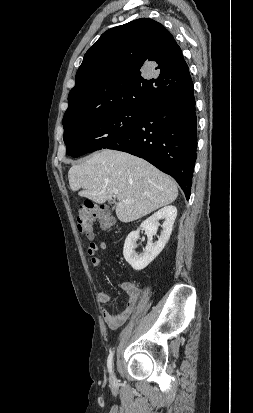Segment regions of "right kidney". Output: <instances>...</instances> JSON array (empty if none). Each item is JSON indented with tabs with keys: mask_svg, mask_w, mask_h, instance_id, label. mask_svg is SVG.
<instances>
[{
	"mask_svg": "<svg viewBox=\"0 0 253 413\" xmlns=\"http://www.w3.org/2000/svg\"><path fill=\"white\" fill-rule=\"evenodd\" d=\"M177 216L175 206H165L158 210L151 217L146 219L140 225V228L145 230L148 237V242L145 251L142 254H137L135 251L136 241L139 238V229L132 231L126 238L123 248L125 260L132 266L134 270L140 271L147 267L163 250L172 233L173 224ZM164 219L162 232L158 241L152 243V237L157 233L159 220Z\"/></svg>",
	"mask_w": 253,
	"mask_h": 413,
	"instance_id": "right-kidney-1",
	"label": "right kidney"
}]
</instances>
